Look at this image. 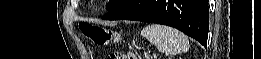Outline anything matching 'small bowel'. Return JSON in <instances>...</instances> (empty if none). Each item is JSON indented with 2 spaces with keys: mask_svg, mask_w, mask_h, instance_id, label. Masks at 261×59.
I'll return each mask as SVG.
<instances>
[{
  "mask_svg": "<svg viewBox=\"0 0 261 59\" xmlns=\"http://www.w3.org/2000/svg\"><path fill=\"white\" fill-rule=\"evenodd\" d=\"M124 57H125V55H121V56H120V59H125Z\"/></svg>",
  "mask_w": 261,
  "mask_h": 59,
  "instance_id": "small-bowel-1",
  "label": "small bowel"
}]
</instances>
